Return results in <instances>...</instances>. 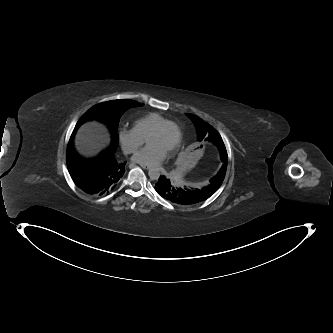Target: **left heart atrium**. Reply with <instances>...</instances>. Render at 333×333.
I'll use <instances>...</instances> for the list:
<instances>
[{
  "label": "left heart atrium",
  "mask_w": 333,
  "mask_h": 333,
  "mask_svg": "<svg viewBox=\"0 0 333 333\" xmlns=\"http://www.w3.org/2000/svg\"><path fill=\"white\" fill-rule=\"evenodd\" d=\"M167 151L154 144H148L139 150L132 158L140 164L156 165L163 160Z\"/></svg>",
  "instance_id": "1"
}]
</instances>
